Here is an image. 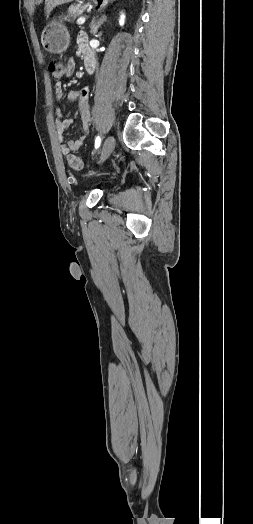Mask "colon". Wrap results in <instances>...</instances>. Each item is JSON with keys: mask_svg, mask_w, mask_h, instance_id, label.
<instances>
[{"mask_svg": "<svg viewBox=\"0 0 253 524\" xmlns=\"http://www.w3.org/2000/svg\"><path fill=\"white\" fill-rule=\"evenodd\" d=\"M67 65L63 64L60 61L53 60L49 63V70L51 72V77L54 82H60L62 76L65 74ZM71 168L75 170H81L84 167L82 160L77 156H69L68 158Z\"/></svg>", "mask_w": 253, "mask_h": 524, "instance_id": "5ec220e1", "label": "colon"}]
</instances>
